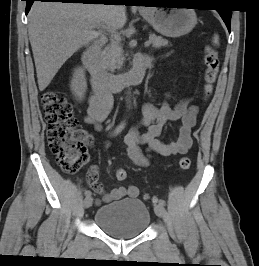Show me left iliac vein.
<instances>
[{
  "label": "left iliac vein",
  "instance_id": "obj_1",
  "mask_svg": "<svg viewBox=\"0 0 259 266\" xmlns=\"http://www.w3.org/2000/svg\"><path fill=\"white\" fill-rule=\"evenodd\" d=\"M154 211H155V214L160 218H164L166 215V211H165L164 206H162L160 204H157L154 206Z\"/></svg>",
  "mask_w": 259,
  "mask_h": 266
}]
</instances>
